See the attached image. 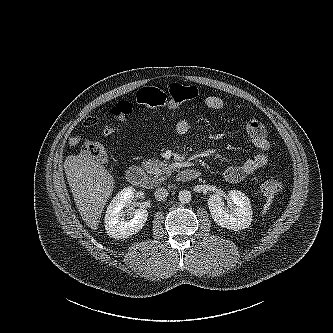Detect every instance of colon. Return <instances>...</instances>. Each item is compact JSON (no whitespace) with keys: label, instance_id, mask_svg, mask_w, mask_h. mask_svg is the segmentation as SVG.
<instances>
[{"label":"colon","instance_id":"colon-1","mask_svg":"<svg viewBox=\"0 0 333 333\" xmlns=\"http://www.w3.org/2000/svg\"><path fill=\"white\" fill-rule=\"evenodd\" d=\"M199 96V90L193 86H185L179 83H173L167 91L156 87H145L138 91L136 100L150 108H169L174 109L183 103L193 100ZM132 111V104L128 101H121L111 107L103 116L105 120H115L125 123L126 117ZM82 153L96 160L105 158V151L100 144L88 141L82 148ZM283 183L277 179H271L264 182L259 190L263 194H270L280 191Z\"/></svg>","mask_w":333,"mask_h":333}]
</instances>
